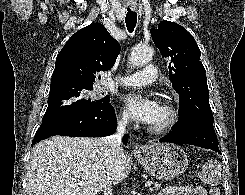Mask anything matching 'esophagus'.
Returning <instances> with one entry per match:
<instances>
[{
  "instance_id": "esophagus-1",
  "label": "esophagus",
  "mask_w": 245,
  "mask_h": 195,
  "mask_svg": "<svg viewBox=\"0 0 245 195\" xmlns=\"http://www.w3.org/2000/svg\"><path fill=\"white\" fill-rule=\"evenodd\" d=\"M132 152L133 154H139L141 152V147L139 145H135Z\"/></svg>"
}]
</instances>
